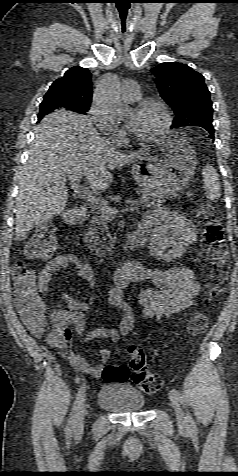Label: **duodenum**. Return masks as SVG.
<instances>
[{
    "label": "duodenum",
    "mask_w": 238,
    "mask_h": 476,
    "mask_svg": "<svg viewBox=\"0 0 238 476\" xmlns=\"http://www.w3.org/2000/svg\"><path fill=\"white\" fill-rule=\"evenodd\" d=\"M91 215V211L87 208H80L77 209L70 214L67 215V221L71 224H79L84 221H86L89 216ZM147 234L144 230L142 229H137L135 230L128 238L126 245L123 249L122 256L118 259L117 264H118V269H126V270H132L134 269V262L128 259V256L140 249L145 241H146Z\"/></svg>",
    "instance_id": "1"
}]
</instances>
